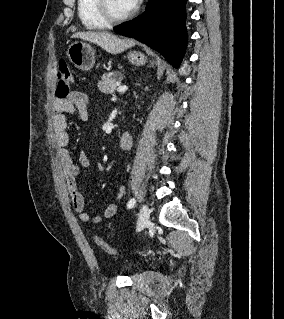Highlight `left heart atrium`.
<instances>
[{
    "label": "left heart atrium",
    "instance_id": "obj_1",
    "mask_svg": "<svg viewBox=\"0 0 284 319\" xmlns=\"http://www.w3.org/2000/svg\"><path fill=\"white\" fill-rule=\"evenodd\" d=\"M127 1L131 10L134 9L136 5L138 4V0H127Z\"/></svg>",
    "mask_w": 284,
    "mask_h": 319
}]
</instances>
